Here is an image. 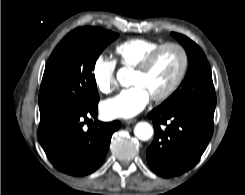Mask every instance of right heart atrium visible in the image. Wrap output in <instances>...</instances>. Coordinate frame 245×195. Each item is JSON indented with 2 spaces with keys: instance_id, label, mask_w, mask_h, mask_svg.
Here are the masks:
<instances>
[{
  "instance_id": "right-heart-atrium-1",
  "label": "right heart atrium",
  "mask_w": 245,
  "mask_h": 195,
  "mask_svg": "<svg viewBox=\"0 0 245 195\" xmlns=\"http://www.w3.org/2000/svg\"><path fill=\"white\" fill-rule=\"evenodd\" d=\"M116 64L111 59L100 55L92 66V78L98 91L110 94L117 88L115 79Z\"/></svg>"
}]
</instances>
